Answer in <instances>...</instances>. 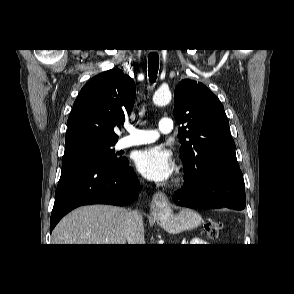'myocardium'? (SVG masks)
<instances>
[{
  "mask_svg": "<svg viewBox=\"0 0 294 294\" xmlns=\"http://www.w3.org/2000/svg\"><path fill=\"white\" fill-rule=\"evenodd\" d=\"M184 183V179L182 177H179L176 181H175V185L176 186H182Z\"/></svg>",
  "mask_w": 294,
  "mask_h": 294,
  "instance_id": "1",
  "label": "myocardium"
}]
</instances>
